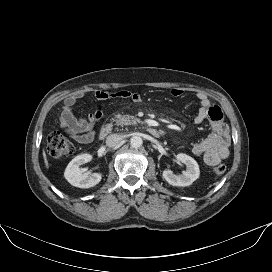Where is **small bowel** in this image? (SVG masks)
Wrapping results in <instances>:
<instances>
[{
	"label": "small bowel",
	"mask_w": 272,
	"mask_h": 272,
	"mask_svg": "<svg viewBox=\"0 0 272 272\" xmlns=\"http://www.w3.org/2000/svg\"><path fill=\"white\" fill-rule=\"evenodd\" d=\"M171 94L174 97H181L184 91L180 88H174ZM92 96L97 101H105L111 98H125L134 102L140 101L138 93L128 90L114 93L96 90L92 93ZM196 96L199 100L200 108L194 121L196 124L208 121L211 126V132L205 139L195 143L192 146V151L194 154L202 156L205 164L208 166H215L229 156V129L222 120L221 109L211 103L205 94L198 92ZM82 98H84V93L82 92L65 98L60 115V123L75 141L87 144L94 139L95 124L102 118V110L98 108L94 112H88L85 118L78 117L75 115L73 107Z\"/></svg>",
	"instance_id": "obj_1"
}]
</instances>
